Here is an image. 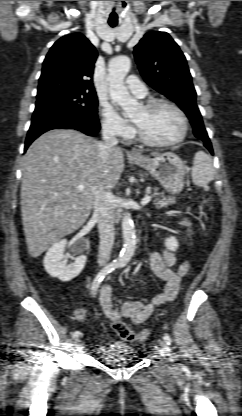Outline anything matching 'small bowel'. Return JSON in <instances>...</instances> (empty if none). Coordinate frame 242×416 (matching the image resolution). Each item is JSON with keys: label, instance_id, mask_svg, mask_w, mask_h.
Instances as JSON below:
<instances>
[{"label": "small bowel", "instance_id": "small-bowel-1", "mask_svg": "<svg viewBox=\"0 0 242 416\" xmlns=\"http://www.w3.org/2000/svg\"><path fill=\"white\" fill-rule=\"evenodd\" d=\"M181 223L187 225L189 218H184ZM149 264L152 272L159 279L166 282L163 293L155 296L148 303L140 300L123 302L113 295L110 285H103L99 291V299L102 311L109 321L125 319L135 325H139L148 319L156 306L175 299L179 290L180 280L188 272L189 263L185 261L178 265L175 254L168 250H163L153 252L150 256ZM74 318L78 322H84L86 319L85 309H76ZM123 346L125 345L122 342H117L110 347L98 346L97 352L101 355H108L119 351Z\"/></svg>", "mask_w": 242, "mask_h": 416}]
</instances>
